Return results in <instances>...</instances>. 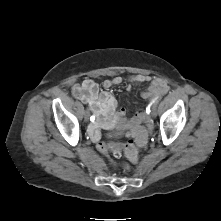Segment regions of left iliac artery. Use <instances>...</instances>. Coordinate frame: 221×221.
I'll return each mask as SVG.
<instances>
[{
    "label": "left iliac artery",
    "instance_id": "left-iliac-artery-1",
    "mask_svg": "<svg viewBox=\"0 0 221 221\" xmlns=\"http://www.w3.org/2000/svg\"><path fill=\"white\" fill-rule=\"evenodd\" d=\"M147 113L150 112V106H148V108L146 109Z\"/></svg>",
    "mask_w": 221,
    "mask_h": 221
}]
</instances>
